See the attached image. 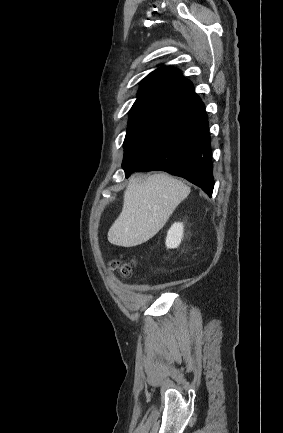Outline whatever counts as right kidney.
I'll return each mask as SVG.
<instances>
[{
  "label": "right kidney",
  "mask_w": 283,
  "mask_h": 433,
  "mask_svg": "<svg viewBox=\"0 0 283 433\" xmlns=\"http://www.w3.org/2000/svg\"><path fill=\"white\" fill-rule=\"evenodd\" d=\"M183 224L182 223H174L169 229L166 237V246L168 249L177 248L181 240L183 238Z\"/></svg>",
  "instance_id": "obj_1"
}]
</instances>
